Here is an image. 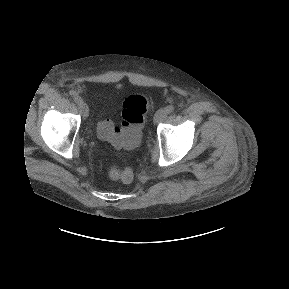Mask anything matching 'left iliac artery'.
<instances>
[{
    "label": "left iliac artery",
    "instance_id": "1",
    "mask_svg": "<svg viewBox=\"0 0 289 289\" xmlns=\"http://www.w3.org/2000/svg\"><path fill=\"white\" fill-rule=\"evenodd\" d=\"M174 106L173 105H168L167 107H166V110H167V112L168 113H172L173 111H174Z\"/></svg>",
    "mask_w": 289,
    "mask_h": 289
}]
</instances>
